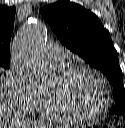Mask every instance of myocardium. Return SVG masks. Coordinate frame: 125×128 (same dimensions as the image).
<instances>
[{"mask_svg":"<svg viewBox=\"0 0 125 128\" xmlns=\"http://www.w3.org/2000/svg\"><path fill=\"white\" fill-rule=\"evenodd\" d=\"M81 71H88L94 74L100 80L103 91H104V103L100 110L92 114H81L70 110L62 100L55 94H50V98L53 102L55 109L69 122H76V123H87L92 122L100 119L110 108L111 104V91L109 83L102 72L98 69L86 65V64H77L67 68L66 70L62 71L59 75V79L61 81H66Z\"/></svg>","mask_w":125,"mask_h":128,"instance_id":"obj_1","label":"myocardium"}]
</instances>
